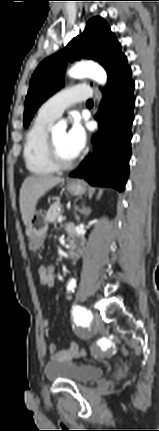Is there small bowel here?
Wrapping results in <instances>:
<instances>
[{"label":"small bowel","instance_id":"small-bowel-1","mask_svg":"<svg viewBox=\"0 0 159 431\" xmlns=\"http://www.w3.org/2000/svg\"><path fill=\"white\" fill-rule=\"evenodd\" d=\"M47 266L48 265H41L39 267V275H40V284L43 287H49V277L47 276ZM55 275L54 277H56L57 273H56V268H55ZM72 289H71V285L70 282L67 286V288L64 291V297L65 299H70L71 298V294H72ZM42 326L45 329L46 334L48 333V328H49V320L48 319H44L42 321ZM47 350L50 354L51 360L54 362H66V361H70L73 358H77L80 357V347L75 343V342H71L69 347L65 350L62 351H57L56 349V345L55 344H49L47 347Z\"/></svg>","mask_w":159,"mask_h":431}]
</instances>
